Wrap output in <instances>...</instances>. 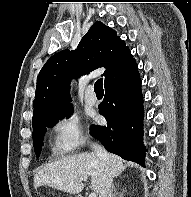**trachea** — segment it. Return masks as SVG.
<instances>
[{"label": "trachea", "mask_w": 191, "mask_h": 197, "mask_svg": "<svg viewBox=\"0 0 191 197\" xmlns=\"http://www.w3.org/2000/svg\"><path fill=\"white\" fill-rule=\"evenodd\" d=\"M94 91L96 94H103L104 93L102 78L96 81V83L94 85Z\"/></svg>", "instance_id": "3493384b"}]
</instances>
